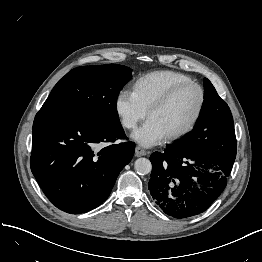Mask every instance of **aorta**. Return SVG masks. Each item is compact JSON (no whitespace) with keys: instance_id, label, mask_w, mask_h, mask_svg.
Here are the masks:
<instances>
[{"instance_id":"1","label":"aorta","mask_w":262,"mask_h":262,"mask_svg":"<svg viewBox=\"0 0 262 262\" xmlns=\"http://www.w3.org/2000/svg\"><path fill=\"white\" fill-rule=\"evenodd\" d=\"M134 168L139 175H147L151 172L152 164L147 158H138L135 161Z\"/></svg>"}]
</instances>
